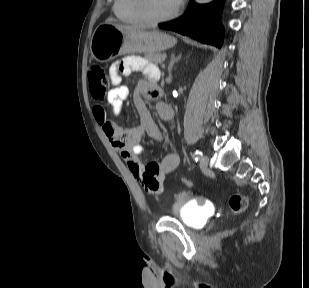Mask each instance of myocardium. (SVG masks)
Returning a JSON list of instances; mask_svg holds the SVG:
<instances>
[{"label": "myocardium", "instance_id": "obj_1", "mask_svg": "<svg viewBox=\"0 0 309 288\" xmlns=\"http://www.w3.org/2000/svg\"><path fill=\"white\" fill-rule=\"evenodd\" d=\"M135 10L140 18L149 24H157L167 20H170L178 15L182 8V3H178L177 7L168 14L162 16H154L148 9V0H134Z\"/></svg>", "mask_w": 309, "mask_h": 288}]
</instances>
